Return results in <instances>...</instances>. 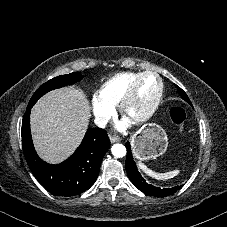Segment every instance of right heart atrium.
Instances as JSON below:
<instances>
[{
	"label": "right heart atrium",
	"instance_id": "d8ad5b80",
	"mask_svg": "<svg viewBox=\"0 0 227 227\" xmlns=\"http://www.w3.org/2000/svg\"><path fill=\"white\" fill-rule=\"evenodd\" d=\"M92 113L96 121L102 123L112 116L113 107L95 99L92 103Z\"/></svg>",
	"mask_w": 227,
	"mask_h": 227
}]
</instances>
